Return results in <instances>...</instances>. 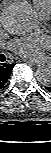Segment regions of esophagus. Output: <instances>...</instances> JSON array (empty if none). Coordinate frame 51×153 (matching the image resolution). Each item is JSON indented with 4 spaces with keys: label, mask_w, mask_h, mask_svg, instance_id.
<instances>
[{
    "label": "esophagus",
    "mask_w": 51,
    "mask_h": 153,
    "mask_svg": "<svg viewBox=\"0 0 51 153\" xmlns=\"http://www.w3.org/2000/svg\"><path fill=\"white\" fill-rule=\"evenodd\" d=\"M24 62L31 65V66H38L39 65L37 62L30 61V60H24Z\"/></svg>",
    "instance_id": "34e87169"
}]
</instances>
